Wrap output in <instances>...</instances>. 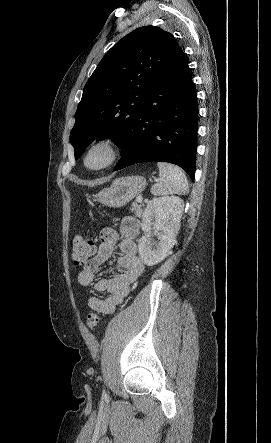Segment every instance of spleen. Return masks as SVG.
Listing matches in <instances>:
<instances>
[{"mask_svg": "<svg viewBox=\"0 0 271 443\" xmlns=\"http://www.w3.org/2000/svg\"><path fill=\"white\" fill-rule=\"evenodd\" d=\"M159 180L151 188L153 196H169V194H182L185 196L188 192L187 178L181 168L158 162Z\"/></svg>", "mask_w": 271, "mask_h": 443, "instance_id": "1", "label": "spleen"}]
</instances>
